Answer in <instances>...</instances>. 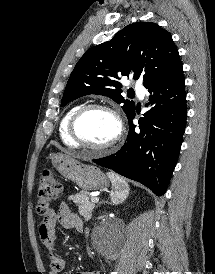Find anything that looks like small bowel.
I'll return each mask as SVG.
<instances>
[{
  "label": "small bowel",
  "instance_id": "small-bowel-1",
  "mask_svg": "<svg viewBox=\"0 0 215 274\" xmlns=\"http://www.w3.org/2000/svg\"><path fill=\"white\" fill-rule=\"evenodd\" d=\"M60 223L66 229L82 230L81 218L72 212L66 202L58 204L56 210H50L39 226V236L46 248V258L50 266L49 274H59L65 267V260L55 252L56 225ZM81 274H99L98 271H86Z\"/></svg>",
  "mask_w": 215,
  "mask_h": 274
}]
</instances>
